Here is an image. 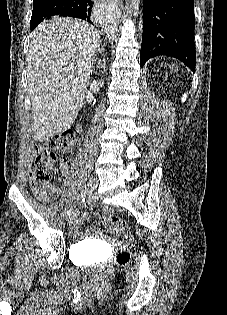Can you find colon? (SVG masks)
Returning a JSON list of instances; mask_svg holds the SVG:
<instances>
[{"instance_id": "1", "label": "colon", "mask_w": 227, "mask_h": 315, "mask_svg": "<svg viewBox=\"0 0 227 315\" xmlns=\"http://www.w3.org/2000/svg\"><path fill=\"white\" fill-rule=\"evenodd\" d=\"M75 143V137L68 131L51 136L45 144H39L34 149L33 166L30 173L31 184L35 188H48L55 165L58 160L67 159ZM110 230L114 234L131 237L128 224L120 218L110 221ZM129 260V254L125 251L117 256L118 264H125ZM108 269L104 268L100 276L104 278Z\"/></svg>"}]
</instances>
